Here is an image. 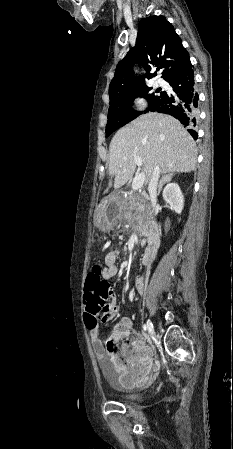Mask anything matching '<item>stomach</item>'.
I'll use <instances>...</instances> for the list:
<instances>
[{
	"label": "stomach",
	"instance_id": "obj_1",
	"mask_svg": "<svg viewBox=\"0 0 233 449\" xmlns=\"http://www.w3.org/2000/svg\"><path fill=\"white\" fill-rule=\"evenodd\" d=\"M123 202L118 197H112L99 208L96 222L100 227L111 228L122 216Z\"/></svg>",
	"mask_w": 233,
	"mask_h": 449
}]
</instances>
